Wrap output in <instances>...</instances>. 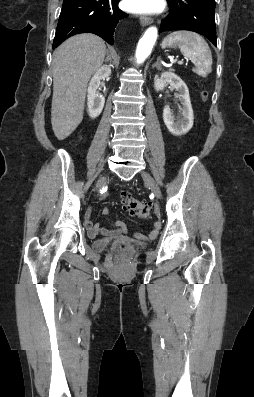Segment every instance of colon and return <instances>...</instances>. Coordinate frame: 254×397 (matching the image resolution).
Segmentation results:
<instances>
[{
  "label": "colon",
  "instance_id": "1",
  "mask_svg": "<svg viewBox=\"0 0 254 397\" xmlns=\"http://www.w3.org/2000/svg\"><path fill=\"white\" fill-rule=\"evenodd\" d=\"M202 99L206 100L207 92L202 91ZM123 200L129 212L139 218H149L151 216V207L145 202L139 201L131 195L123 194ZM120 254L126 253V245L121 243L118 245Z\"/></svg>",
  "mask_w": 254,
  "mask_h": 397
}]
</instances>
